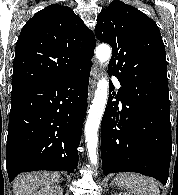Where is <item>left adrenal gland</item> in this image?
Listing matches in <instances>:
<instances>
[{
  "label": "left adrenal gland",
  "instance_id": "obj_1",
  "mask_svg": "<svg viewBox=\"0 0 178 195\" xmlns=\"http://www.w3.org/2000/svg\"><path fill=\"white\" fill-rule=\"evenodd\" d=\"M114 185V181H112L111 183H110V186H113Z\"/></svg>",
  "mask_w": 178,
  "mask_h": 195
}]
</instances>
